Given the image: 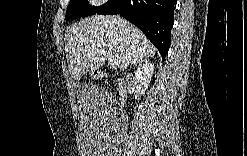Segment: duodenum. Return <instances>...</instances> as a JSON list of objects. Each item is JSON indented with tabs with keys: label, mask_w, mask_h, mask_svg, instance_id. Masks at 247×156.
I'll list each match as a JSON object with an SVG mask.
<instances>
[{
	"label": "duodenum",
	"mask_w": 247,
	"mask_h": 156,
	"mask_svg": "<svg viewBox=\"0 0 247 156\" xmlns=\"http://www.w3.org/2000/svg\"><path fill=\"white\" fill-rule=\"evenodd\" d=\"M119 92L121 96H124L127 93V88L124 83H119Z\"/></svg>",
	"instance_id": "obj_1"
}]
</instances>
